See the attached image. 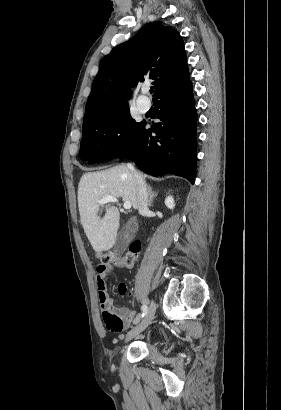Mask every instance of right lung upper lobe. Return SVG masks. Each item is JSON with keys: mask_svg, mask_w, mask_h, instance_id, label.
Masks as SVG:
<instances>
[{"mask_svg": "<svg viewBox=\"0 0 281 410\" xmlns=\"http://www.w3.org/2000/svg\"><path fill=\"white\" fill-rule=\"evenodd\" d=\"M152 80L154 100L189 80L179 33L159 21L146 24L132 39L116 46L100 62L88 97L83 124L128 107L139 82Z\"/></svg>", "mask_w": 281, "mask_h": 410, "instance_id": "cb5924a9", "label": "right lung upper lobe"}]
</instances>
